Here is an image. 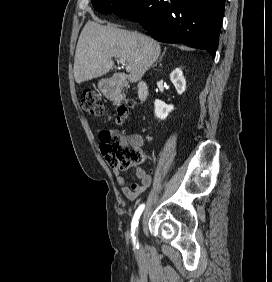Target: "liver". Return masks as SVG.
Wrapping results in <instances>:
<instances>
[{
    "label": "liver",
    "mask_w": 272,
    "mask_h": 282,
    "mask_svg": "<svg viewBox=\"0 0 272 282\" xmlns=\"http://www.w3.org/2000/svg\"><path fill=\"white\" fill-rule=\"evenodd\" d=\"M160 52V44L146 35L88 21L76 47L74 78L80 84L106 74L115 57L130 66L128 79L134 83L143 77Z\"/></svg>",
    "instance_id": "6515ba94"
}]
</instances>
